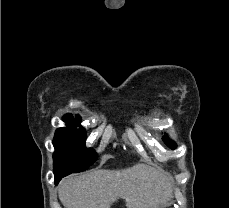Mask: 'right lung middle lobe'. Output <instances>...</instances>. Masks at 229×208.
I'll list each match as a JSON object with an SVG mask.
<instances>
[{
    "label": "right lung middle lobe",
    "mask_w": 229,
    "mask_h": 208,
    "mask_svg": "<svg viewBox=\"0 0 229 208\" xmlns=\"http://www.w3.org/2000/svg\"><path fill=\"white\" fill-rule=\"evenodd\" d=\"M63 120L67 123V127L58 128L53 139L55 176L84 171L97 158L93 149L85 147L87 137L85 129L76 128L81 123L80 118L63 117Z\"/></svg>",
    "instance_id": "right-lung-middle-lobe-1"
}]
</instances>
